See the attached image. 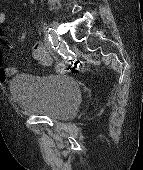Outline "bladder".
<instances>
[{
  "mask_svg": "<svg viewBox=\"0 0 143 170\" xmlns=\"http://www.w3.org/2000/svg\"><path fill=\"white\" fill-rule=\"evenodd\" d=\"M10 92L21 109L51 119L74 117L81 102V90L67 74H18Z\"/></svg>",
  "mask_w": 143,
  "mask_h": 170,
  "instance_id": "bladder-1",
  "label": "bladder"
}]
</instances>
